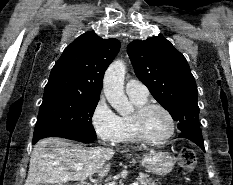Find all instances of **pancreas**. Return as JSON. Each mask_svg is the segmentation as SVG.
Listing matches in <instances>:
<instances>
[{"instance_id":"1","label":"pancreas","mask_w":233,"mask_h":185,"mask_svg":"<svg viewBox=\"0 0 233 185\" xmlns=\"http://www.w3.org/2000/svg\"><path fill=\"white\" fill-rule=\"evenodd\" d=\"M156 181L158 180H154L148 174H141L138 177V182L140 185H157Z\"/></svg>"}]
</instances>
